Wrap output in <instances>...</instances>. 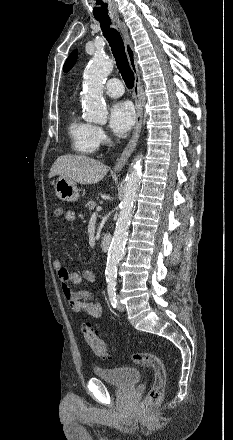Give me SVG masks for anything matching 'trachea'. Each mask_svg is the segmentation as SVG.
I'll return each mask as SVG.
<instances>
[{"mask_svg":"<svg viewBox=\"0 0 233 440\" xmlns=\"http://www.w3.org/2000/svg\"><path fill=\"white\" fill-rule=\"evenodd\" d=\"M100 22V26L103 32L104 37L108 41L112 53L116 60V65L119 69V72L122 75V78L129 89H132L134 86V73L130 68L126 53L125 47L120 33L111 28V20L110 19H97Z\"/></svg>","mask_w":233,"mask_h":440,"instance_id":"trachea-1","label":"trachea"}]
</instances>
